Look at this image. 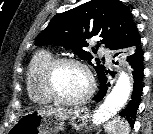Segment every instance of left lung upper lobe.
I'll return each instance as SVG.
<instances>
[{
    "label": "left lung upper lobe",
    "instance_id": "1",
    "mask_svg": "<svg viewBox=\"0 0 153 134\" xmlns=\"http://www.w3.org/2000/svg\"><path fill=\"white\" fill-rule=\"evenodd\" d=\"M91 37L99 39L96 49L101 43L111 50L135 48L140 43L133 15L126 5L119 0H91L53 17L48 27L37 36L35 45L55 44L72 49L91 64L93 56L84 50ZM93 67L98 78L105 71V66L100 63Z\"/></svg>",
    "mask_w": 153,
    "mask_h": 134
}]
</instances>
